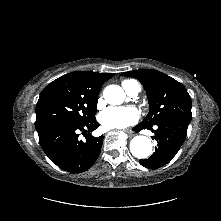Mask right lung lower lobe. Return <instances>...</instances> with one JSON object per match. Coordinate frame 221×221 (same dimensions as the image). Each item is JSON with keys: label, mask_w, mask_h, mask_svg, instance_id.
<instances>
[{"label": "right lung lower lobe", "mask_w": 221, "mask_h": 221, "mask_svg": "<svg viewBox=\"0 0 221 221\" xmlns=\"http://www.w3.org/2000/svg\"><path fill=\"white\" fill-rule=\"evenodd\" d=\"M98 127L95 119L83 125L51 126L38 132L39 142L45 154L59 168L81 173L88 170L100 154L103 137L91 135ZM79 131L84 134L85 141L78 139Z\"/></svg>", "instance_id": "obj_1"}]
</instances>
